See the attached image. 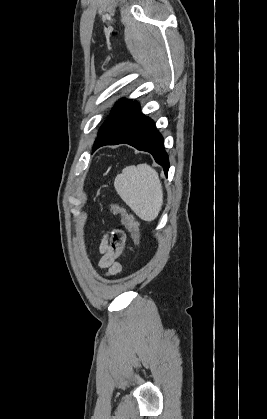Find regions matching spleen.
I'll return each mask as SVG.
<instances>
[{
  "instance_id": "3e777b00",
  "label": "spleen",
  "mask_w": 267,
  "mask_h": 419,
  "mask_svg": "<svg viewBox=\"0 0 267 419\" xmlns=\"http://www.w3.org/2000/svg\"><path fill=\"white\" fill-rule=\"evenodd\" d=\"M122 200L144 221L155 220L163 204L158 173L146 163L127 166L114 181Z\"/></svg>"
}]
</instances>
